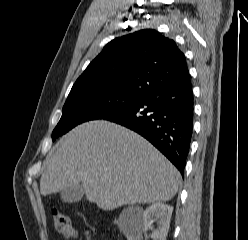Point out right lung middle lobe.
Listing matches in <instances>:
<instances>
[{
    "mask_svg": "<svg viewBox=\"0 0 248 240\" xmlns=\"http://www.w3.org/2000/svg\"><path fill=\"white\" fill-rule=\"evenodd\" d=\"M142 97L112 88L71 90L63 106L62 117L53 130L52 139L55 140L83 122L104 119L120 112Z\"/></svg>",
    "mask_w": 248,
    "mask_h": 240,
    "instance_id": "1",
    "label": "right lung middle lobe"
}]
</instances>
